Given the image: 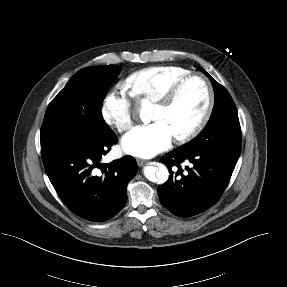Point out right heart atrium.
I'll return each mask as SVG.
<instances>
[{
    "label": "right heart atrium",
    "instance_id": "d8ad5b80",
    "mask_svg": "<svg viewBox=\"0 0 287 287\" xmlns=\"http://www.w3.org/2000/svg\"><path fill=\"white\" fill-rule=\"evenodd\" d=\"M132 97L126 87L118 85L101 103L100 114L103 121L120 133L127 131L133 123Z\"/></svg>",
    "mask_w": 287,
    "mask_h": 287
}]
</instances>
